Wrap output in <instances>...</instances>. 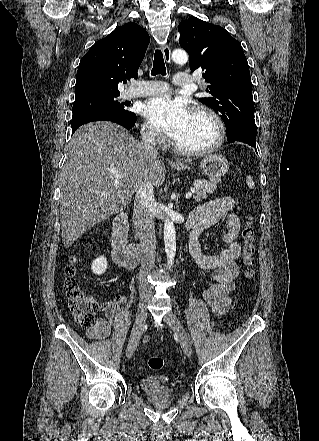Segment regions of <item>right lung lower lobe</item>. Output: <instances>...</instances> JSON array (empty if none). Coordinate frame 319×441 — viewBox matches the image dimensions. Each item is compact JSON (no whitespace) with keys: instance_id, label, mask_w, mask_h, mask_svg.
I'll return each mask as SVG.
<instances>
[{"instance_id":"1","label":"right lung lower lobe","mask_w":319,"mask_h":441,"mask_svg":"<svg viewBox=\"0 0 319 441\" xmlns=\"http://www.w3.org/2000/svg\"><path fill=\"white\" fill-rule=\"evenodd\" d=\"M93 121H111L115 122L127 129H132L136 122V117L132 122L126 121L117 115L109 114V113H97V114H90L85 115L82 117H79L75 120H72L71 127H72V134L76 131L78 127H80L83 124L93 122Z\"/></svg>"}]
</instances>
